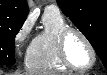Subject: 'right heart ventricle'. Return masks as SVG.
<instances>
[{
  "label": "right heart ventricle",
  "instance_id": "right-heart-ventricle-1",
  "mask_svg": "<svg viewBox=\"0 0 107 75\" xmlns=\"http://www.w3.org/2000/svg\"><path fill=\"white\" fill-rule=\"evenodd\" d=\"M68 27L59 12L45 11L42 28L32 39L26 56V67L36 72H61L68 68L58 55L57 40L60 32Z\"/></svg>",
  "mask_w": 107,
  "mask_h": 75
}]
</instances>
